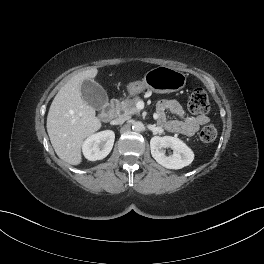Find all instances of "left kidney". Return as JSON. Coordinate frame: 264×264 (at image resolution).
I'll use <instances>...</instances> for the list:
<instances>
[{
	"mask_svg": "<svg viewBox=\"0 0 264 264\" xmlns=\"http://www.w3.org/2000/svg\"><path fill=\"white\" fill-rule=\"evenodd\" d=\"M151 155L157 163L167 169H181L192 163L193 151L179 138L154 136L150 140ZM170 148L173 154L167 156L164 149Z\"/></svg>",
	"mask_w": 264,
	"mask_h": 264,
	"instance_id": "5707ae66",
	"label": "left kidney"
}]
</instances>
